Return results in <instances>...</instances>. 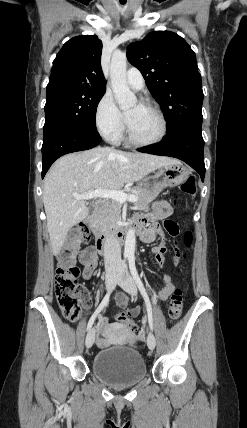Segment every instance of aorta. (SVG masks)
Returning a JSON list of instances; mask_svg holds the SVG:
<instances>
[{
    "instance_id": "762f6f07",
    "label": "aorta",
    "mask_w": 247,
    "mask_h": 428,
    "mask_svg": "<svg viewBox=\"0 0 247 428\" xmlns=\"http://www.w3.org/2000/svg\"><path fill=\"white\" fill-rule=\"evenodd\" d=\"M126 54L116 50L112 54L110 65V79L114 91L115 99L122 108L131 106L136 97L129 89L126 81ZM136 236L134 229H129L126 234L124 256L133 257L135 252Z\"/></svg>"
}]
</instances>
